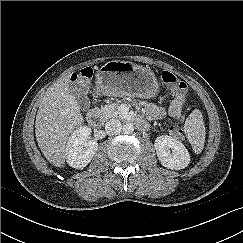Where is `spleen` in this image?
<instances>
[{
	"label": "spleen",
	"instance_id": "obj_1",
	"mask_svg": "<svg viewBox=\"0 0 243 243\" xmlns=\"http://www.w3.org/2000/svg\"><path fill=\"white\" fill-rule=\"evenodd\" d=\"M184 131L195 152L200 153L205 143V125L200 110L195 109L188 116L184 124Z\"/></svg>",
	"mask_w": 243,
	"mask_h": 243
}]
</instances>
